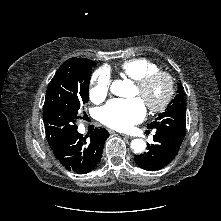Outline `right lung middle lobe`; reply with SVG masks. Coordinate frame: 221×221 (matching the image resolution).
I'll use <instances>...</instances> for the list:
<instances>
[{"label": "right lung middle lobe", "instance_id": "1", "mask_svg": "<svg viewBox=\"0 0 221 221\" xmlns=\"http://www.w3.org/2000/svg\"><path fill=\"white\" fill-rule=\"evenodd\" d=\"M88 59L64 62L49 83L43 106V122L49 145L77 130L78 110L89 100L92 66Z\"/></svg>", "mask_w": 221, "mask_h": 221}]
</instances>
